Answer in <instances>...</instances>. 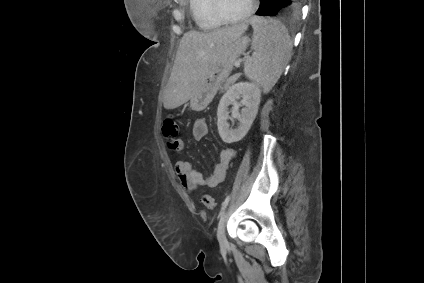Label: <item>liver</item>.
<instances>
[{"instance_id": "liver-1", "label": "liver", "mask_w": 424, "mask_h": 283, "mask_svg": "<svg viewBox=\"0 0 424 283\" xmlns=\"http://www.w3.org/2000/svg\"><path fill=\"white\" fill-rule=\"evenodd\" d=\"M247 28L248 23L244 22L207 32L185 33L164 92V108L174 109L190 100L228 45Z\"/></svg>"}]
</instances>
